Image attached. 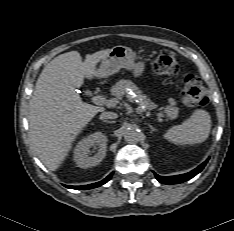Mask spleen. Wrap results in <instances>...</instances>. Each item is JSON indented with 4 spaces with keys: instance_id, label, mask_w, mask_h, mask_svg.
I'll list each match as a JSON object with an SVG mask.
<instances>
[{
    "instance_id": "1",
    "label": "spleen",
    "mask_w": 234,
    "mask_h": 231,
    "mask_svg": "<svg viewBox=\"0 0 234 231\" xmlns=\"http://www.w3.org/2000/svg\"><path fill=\"white\" fill-rule=\"evenodd\" d=\"M210 129L209 113L203 109H196L182 124L171 127L163 136L177 145H195L208 138Z\"/></svg>"
}]
</instances>
